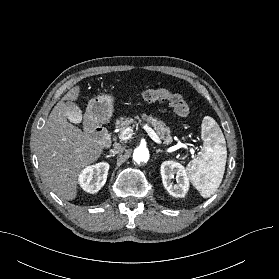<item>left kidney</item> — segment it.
<instances>
[{
  "label": "left kidney",
  "mask_w": 279,
  "mask_h": 279,
  "mask_svg": "<svg viewBox=\"0 0 279 279\" xmlns=\"http://www.w3.org/2000/svg\"><path fill=\"white\" fill-rule=\"evenodd\" d=\"M161 177L165 189L173 197H184L189 189V176L180 163L165 161L161 164ZM176 176L177 184H173L172 178Z\"/></svg>",
  "instance_id": "1"
}]
</instances>
